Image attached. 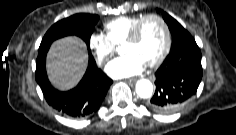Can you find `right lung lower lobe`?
Instances as JSON below:
<instances>
[{
  "instance_id": "right-lung-lower-lobe-1",
  "label": "right lung lower lobe",
  "mask_w": 236,
  "mask_h": 135,
  "mask_svg": "<svg viewBox=\"0 0 236 135\" xmlns=\"http://www.w3.org/2000/svg\"><path fill=\"white\" fill-rule=\"evenodd\" d=\"M48 50L39 52L35 78L47 103L62 115L84 118L95 113L102 104L112 80L99 68L89 52V66L80 83L72 90L60 92L49 82L45 69Z\"/></svg>"
}]
</instances>
